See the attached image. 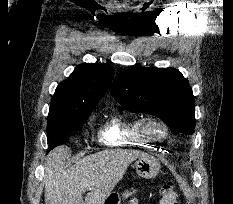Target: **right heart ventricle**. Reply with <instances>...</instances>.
Listing matches in <instances>:
<instances>
[{"instance_id": "obj_1", "label": "right heart ventricle", "mask_w": 233, "mask_h": 204, "mask_svg": "<svg viewBox=\"0 0 233 204\" xmlns=\"http://www.w3.org/2000/svg\"><path fill=\"white\" fill-rule=\"evenodd\" d=\"M139 123L140 120L136 117L118 111L113 112L99 127L97 138L99 142L109 147H147L150 140L140 133Z\"/></svg>"}]
</instances>
